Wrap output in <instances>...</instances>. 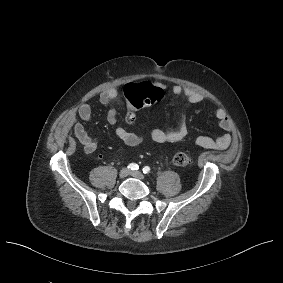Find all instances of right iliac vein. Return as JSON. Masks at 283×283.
I'll use <instances>...</instances> for the list:
<instances>
[{
	"mask_svg": "<svg viewBox=\"0 0 283 283\" xmlns=\"http://www.w3.org/2000/svg\"><path fill=\"white\" fill-rule=\"evenodd\" d=\"M130 174V170L128 168H123L121 171H120V178H126L128 175Z\"/></svg>",
	"mask_w": 283,
	"mask_h": 283,
	"instance_id": "63e3f726",
	"label": "right iliac vein"
}]
</instances>
